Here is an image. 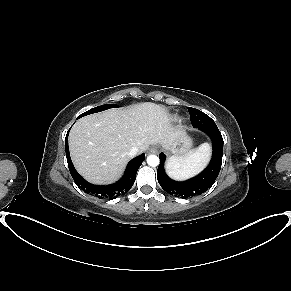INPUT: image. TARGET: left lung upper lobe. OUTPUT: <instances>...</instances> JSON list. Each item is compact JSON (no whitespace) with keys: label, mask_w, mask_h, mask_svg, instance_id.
Segmentation results:
<instances>
[{"label":"left lung upper lobe","mask_w":291,"mask_h":291,"mask_svg":"<svg viewBox=\"0 0 291 291\" xmlns=\"http://www.w3.org/2000/svg\"><path fill=\"white\" fill-rule=\"evenodd\" d=\"M188 111H189V114H190V119H191V122H195L196 119H198V117L200 116L199 113H201L200 110L198 109H195V108H191V107H188Z\"/></svg>","instance_id":"1"}]
</instances>
